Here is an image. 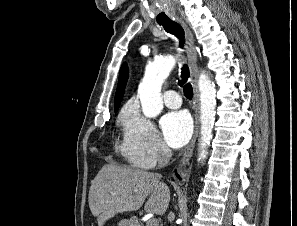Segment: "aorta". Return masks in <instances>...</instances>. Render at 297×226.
Here are the masks:
<instances>
[{
    "label": "aorta",
    "instance_id": "obj_1",
    "mask_svg": "<svg viewBox=\"0 0 297 226\" xmlns=\"http://www.w3.org/2000/svg\"><path fill=\"white\" fill-rule=\"evenodd\" d=\"M176 65L174 56L159 57L147 66L144 78L139 85L138 94L143 114L154 118L163 109L161 87L171 70ZM198 87L200 92V152L199 161L207 157V148L213 137L212 130L216 115V88L205 72L199 76Z\"/></svg>",
    "mask_w": 297,
    "mask_h": 226
}]
</instances>
